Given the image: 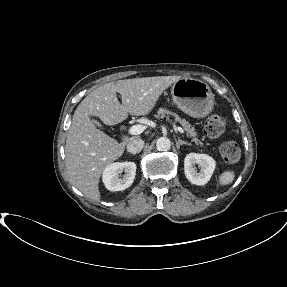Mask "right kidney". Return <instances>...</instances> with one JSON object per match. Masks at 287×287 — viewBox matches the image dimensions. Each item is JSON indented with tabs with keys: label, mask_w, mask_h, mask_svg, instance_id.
I'll use <instances>...</instances> for the list:
<instances>
[{
	"label": "right kidney",
	"mask_w": 287,
	"mask_h": 287,
	"mask_svg": "<svg viewBox=\"0 0 287 287\" xmlns=\"http://www.w3.org/2000/svg\"><path fill=\"white\" fill-rule=\"evenodd\" d=\"M136 164L134 162H115L108 165L103 171V183L110 191H122L130 187L135 179ZM125 174L119 178L122 171Z\"/></svg>",
	"instance_id": "right-kidney-1"
}]
</instances>
